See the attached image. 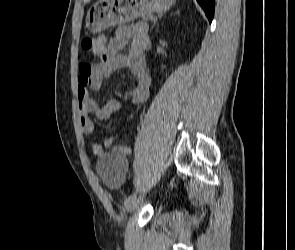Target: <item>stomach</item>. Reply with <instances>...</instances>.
I'll return each mask as SVG.
<instances>
[{
	"label": "stomach",
	"instance_id": "0dacf381",
	"mask_svg": "<svg viewBox=\"0 0 295 250\" xmlns=\"http://www.w3.org/2000/svg\"><path fill=\"white\" fill-rule=\"evenodd\" d=\"M175 0H99L87 12L85 26L92 33L142 15L162 13L170 9Z\"/></svg>",
	"mask_w": 295,
	"mask_h": 250
}]
</instances>
